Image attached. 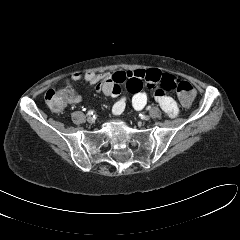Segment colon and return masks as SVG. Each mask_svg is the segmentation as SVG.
<instances>
[{
  "instance_id": "5ec220e1",
  "label": "colon",
  "mask_w": 240,
  "mask_h": 240,
  "mask_svg": "<svg viewBox=\"0 0 240 240\" xmlns=\"http://www.w3.org/2000/svg\"><path fill=\"white\" fill-rule=\"evenodd\" d=\"M177 95L184 106H189L194 97L195 89L187 81H177L175 84ZM69 97L66 89H50L45 94V101L48 107L55 113H59L66 107Z\"/></svg>"
}]
</instances>
